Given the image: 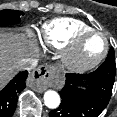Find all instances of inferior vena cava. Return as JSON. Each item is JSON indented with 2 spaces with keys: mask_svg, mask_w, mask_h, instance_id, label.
Returning a JSON list of instances; mask_svg holds the SVG:
<instances>
[{
  "mask_svg": "<svg viewBox=\"0 0 117 117\" xmlns=\"http://www.w3.org/2000/svg\"><path fill=\"white\" fill-rule=\"evenodd\" d=\"M38 60L34 58H24L19 62L18 68L22 70H31L36 67Z\"/></svg>",
  "mask_w": 117,
  "mask_h": 117,
  "instance_id": "1",
  "label": "inferior vena cava"
}]
</instances>
